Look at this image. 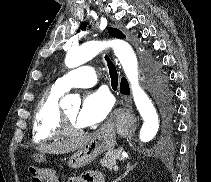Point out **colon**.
<instances>
[{
    "label": "colon",
    "mask_w": 211,
    "mask_h": 182,
    "mask_svg": "<svg viewBox=\"0 0 211 182\" xmlns=\"http://www.w3.org/2000/svg\"><path fill=\"white\" fill-rule=\"evenodd\" d=\"M30 172L38 182H56L55 173L50 168L32 167Z\"/></svg>",
    "instance_id": "obj_1"
}]
</instances>
